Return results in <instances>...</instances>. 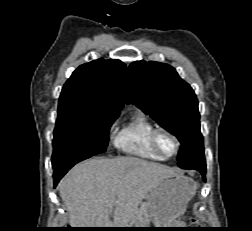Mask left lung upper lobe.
<instances>
[{"label":"left lung upper lobe","mask_w":252,"mask_h":231,"mask_svg":"<svg viewBox=\"0 0 252 231\" xmlns=\"http://www.w3.org/2000/svg\"><path fill=\"white\" fill-rule=\"evenodd\" d=\"M125 100L179 139L181 168L205 164L198 101L173 67L153 61L133 62L128 68Z\"/></svg>","instance_id":"1"}]
</instances>
